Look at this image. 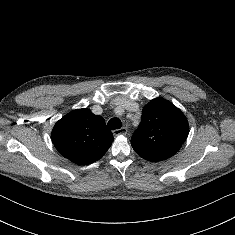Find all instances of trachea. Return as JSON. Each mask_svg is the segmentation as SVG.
<instances>
[{
  "label": "trachea",
  "instance_id": "trachea-1",
  "mask_svg": "<svg viewBox=\"0 0 235 235\" xmlns=\"http://www.w3.org/2000/svg\"><path fill=\"white\" fill-rule=\"evenodd\" d=\"M122 126L121 121L118 118H111L107 123L108 130L120 129Z\"/></svg>",
  "mask_w": 235,
  "mask_h": 235
}]
</instances>
